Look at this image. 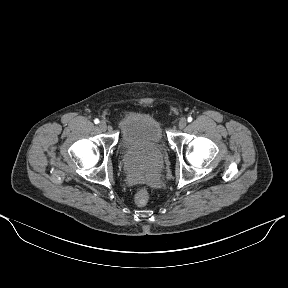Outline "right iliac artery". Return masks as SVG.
<instances>
[{"label": "right iliac artery", "instance_id": "obj_1", "mask_svg": "<svg viewBox=\"0 0 288 288\" xmlns=\"http://www.w3.org/2000/svg\"><path fill=\"white\" fill-rule=\"evenodd\" d=\"M94 123H95V124H98V123H99V120H98V119H95V120H94Z\"/></svg>", "mask_w": 288, "mask_h": 288}]
</instances>
